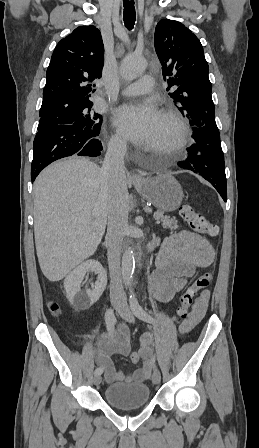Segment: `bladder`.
<instances>
[{
  "instance_id": "1",
  "label": "bladder",
  "mask_w": 259,
  "mask_h": 448,
  "mask_svg": "<svg viewBox=\"0 0 259 448\" xmlns=\"http://www.w3.org/2000/svg\"><path fill=\"white\" fill-rule=\"evenodd\" d=\"M104 397L115 408L132 410L148 403L150 389L144 383H114L106 387Z\"/></svg>"
}]
</instances>
